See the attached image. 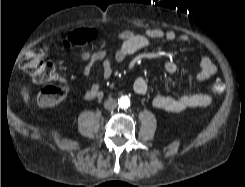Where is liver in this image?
<instances>
[{
	"mask_svg": "<svg viewBox=\"0 0 245 187\" xmlns=\"http://www.w3.org/2000/svg\"><path fill=\"white\" fill-rule=\"evenodd\" d=\"M22 96H23V100L25 103H29V100H30V95H29V91L27 89H23L22 91Z\"/></svg>",
	"mask_w": 245,
	"mask_h": 187,
	"instance_id": "1",
	"label": "liver"
}]
</instances>
